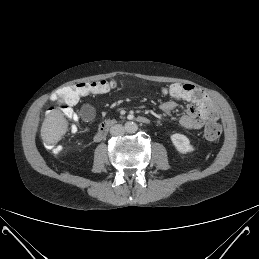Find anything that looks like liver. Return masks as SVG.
Segmentation results:
<instances>
[{
  "instance_id": "liver-1",
  "label": "liver",
  "mask_w": 259,
  "mask_h": 259,
  "mask_svg": "<svg viewBox=\"0 0 259 259\" xmlns=\"http://www.w3.org/2000/svg\"><path fill=\"white\" fill-rule=\"evenodd\" d=\"M59 103H62L59 101ZM68 131V121L60 109L52 110L41 127L42 140L49 145L56 144Z\"/></svg>"
}]
</instances>
